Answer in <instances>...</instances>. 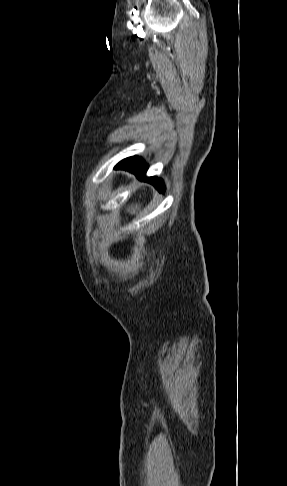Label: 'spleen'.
<instances>
[{
	"mask_svg": "<svg viewBox=\"0 0 287 486\" xmlns=\"http://www.w3.org/2000/svg\"><path fill=\"white\" fill-rule=\"evenodd\" d=\"M140 210V205L136 204V205H131L127 208V211L130 212L131 214H135L137 213V211Z\"/></svg>",
	"mask_w": 287,
	"mask_h": 486,
	"instance_id": "3e777b00",
	"label": "spleen"
}]
</instances>
